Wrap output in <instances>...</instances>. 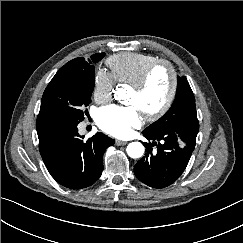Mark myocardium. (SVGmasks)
I'll list each match as a JSON object with an SVG mask.
<instances>
[{
    "mask_svg": "<svg viewBox=\"0 0 243 243\" xmlns=\"http://www.w3.org/2000/svg\"><path fill=\"white\" fill-rule=\"evenodd\" d=\"M160 65L166 66L167 69L169 70L170 84H169L168 91H167L166 95L164 96V98L161 100V102H159L153 108H150L143 112L147 118L153 117V116L159 114L160 112H162L163 110H165L169 106L171 101L173 100L175 92H176V88H177L176 69L174 68V66L172 65V63L170 61H168L166 59H157V60L151 62L150 64H148L141 71V73L138 75V77L129 83L130 87L134 88L135 90H141L145 86L151 72Z\"/></svg>",
    "mask_w": 243,
    "mask_h": 243,
    "instance_id": "myocardium-1",
    "label": "myocardium"
}]
</instances>
